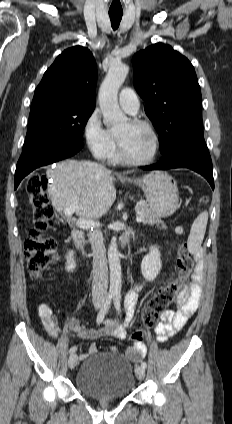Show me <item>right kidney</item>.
I'll use <instances>...</instances> for the list:
<instances>
[{
	"label": "right kidney",
	"mask_w": 232,
	"mask_h": 424,
	"mask_svg": "<svg viewBox=\"0 0 232 424\" xmlns=\"http://www.w3.org/2000/svg\"><path fill=\"white\" fill-rule=\"evenodd\" d=\"M66 270L69 271H73L76 267V263H75V259H74V252L73 251H69V253L66 256Z\"/></svg>",
	"instance_id": "ca27d5eb"
}]
</instances>
